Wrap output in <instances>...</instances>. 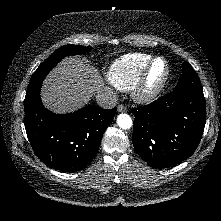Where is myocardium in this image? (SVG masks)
<instances>
[{
	"mask_svg": "<svg viewBox=\"0 0 221 221\" xmlns=\"http://www.w3.org/2000/svg\"><path fill=\"white\" fill-rule=\"evenodd\" d=\"M161 60L164 62L165 71L161 79L153 86L148 83L149 75L153 65ZM170 76V66L168 61L162 56L153 57L145 66L137 81L132 87L133 98L141 103H148L155 100L164 90Z\"/></svg>",
	"mask_w": 221,
	"mask_h": 221,
	"instance_id": "myocardium-1",
	"label": "myocardium"
}]
</instances>
